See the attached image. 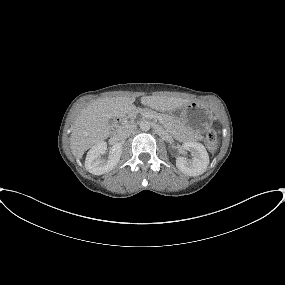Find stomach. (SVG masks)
<instances>
[{
	"label": "stomach",
	"instance_id": "stomach-1",
	"mask_svg": "<svg viewBox=\"0 0 285 285\" xmlns=\"http://www.w3.org/2000/svg\"><path fill=\"white\" fill-rule=\"evenodd\" d=\"M173 114L194 135L205 133L213 123L212 111L206 105L195 101L175 109Z\"/></svg>",
	"mask_w": 285,
	"mask_h": 285
}]
</instances>
